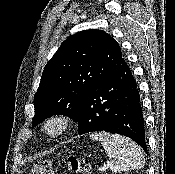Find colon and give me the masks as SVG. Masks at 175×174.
Returning <instances> with one entry per match:
<instances>
[{
  "instance_id": "obj_1",
  "label": "colon",
  "mask_w": 175,
  "mask_h": 174,
  "mask_svg": "<svg viewBox=\"0 0 175 174\" xmlns=\"http://www.w3.org/2000/svg\"><path fill=\"white\" fill-rule=\"evenodd\" d=\"M69 169L74 173H89V167L83 165L80 160L75 156H69L67 159ZM56 165L51 161L44 160L37 162L27 174H54Z\"/></svg>"
}]
</instances>
